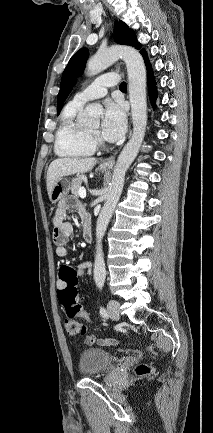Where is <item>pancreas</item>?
<instances>
[{
    "label": "pancreas",
    "mask_w": 213,
    "mask_h": 433,
    "mask_svg": "<svg viewBox=\"0 0 213 433\" xmlns=\"http://www.w3.org/2000/svg\"><path fill=\"white\" fill-rule=\"evenodd\" d=\"M83 181H84L83 176H76L75 178H73L71 183V192L73 195L75 196L79 195V189L81 188Z\"/></svg>",
    "instance_id": "obj_1"
}]
</instances>
